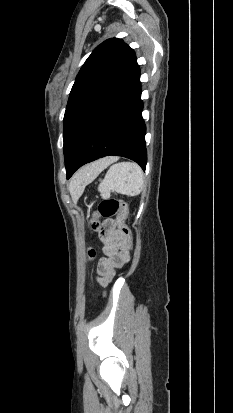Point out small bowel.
Here are the masks:
<instances>
[{
    "instance_id": "1",
    "label": "small bowel",
    "mask_w": 233,
    "mask_h": 413,
    "mask_svg": "<svg viewBox=\"0 0 233 413\" xmlns=\"http://www.w3.org/2000/svg\"><path fill=\"white\" fill-rule=\"evenodd\" d=\"M106 229L101 233L104 257L98 262L99 282L108 284L115 274V269L122 267L129 260V247L125 238L116 229L114 220H107Z\"/></svg>"
}]
</instances>
